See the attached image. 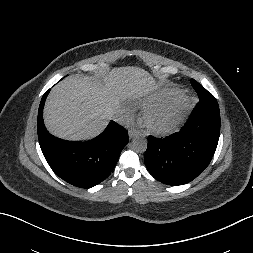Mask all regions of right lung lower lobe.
Returning <instances> with one entry per match:
<instances>
[{"label": "right lung lower lobe", "instance_id": "right-lung-lower-lobe-1", "mask_svg": "<svg viewBox=\"0 0 253 253\" xmlns=\"http://www.w3.org/2000/svg\"><path fill=\"white\" fill-rule=\"evenodd\" d=\"M48 93L41 99L37 121L39 144L47 163L56 175L74 186L90 188L99 184L109 176L128 143L127 131L110 122L99 136L84 143L53 137L42 118Z\"/></svg>", "mask_w": 253, "mask_h": 253}]
</instances>
